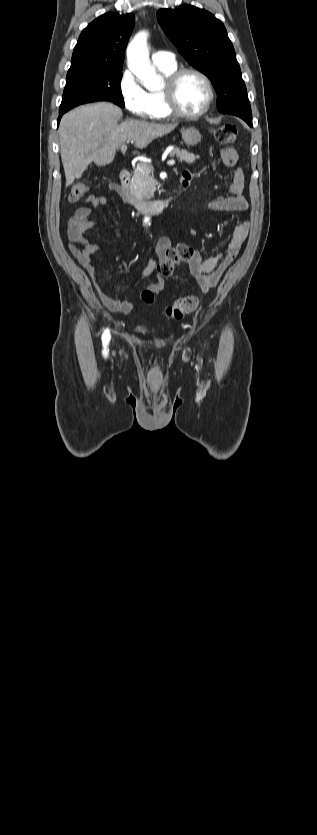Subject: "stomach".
Wrapping results in <instances>:
<instances>
[{
	"label": "stomach",
	"mask_w": 317,
	"mask_h": 835,
	"mask_svg": "<svg viewBox=\"0 0 317 835\" xmlns=\"http://www.w3.org/2000/svg\"><path fill=\"white\" fill-rule=\"evenodd\" d=\"M182 139L189 146H196L201 141L200 132L194 127H187L181 130Z\"/></svg>",
	"instance_id": "obj_1"
}]
</instances>
